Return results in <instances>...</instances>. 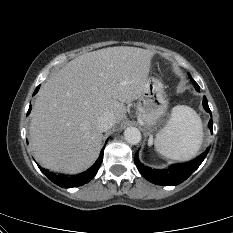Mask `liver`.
Returning a JSON list of instances; mask_svg holds the SVG:
<instances>
[{
	"label": "liver",
	"instance_id": "obj_1",
	"mask_svg": "<svg viewBox=\"0 0 233 233\" xmlns=\"http://www.w3.org/2000/svg\"><path fill=\"white\" fill-rule=\"evenodd\" d=\"M154 52L108 47L83 54L54 72L31 112L29 141L35 159L55 172L79 173L96 161L102 144L97 122L109 112L119 123L124 103L142 95Z\"/></svg>",
	"mask_w": 233,
	"mask_h": 233
}]
</instances>
